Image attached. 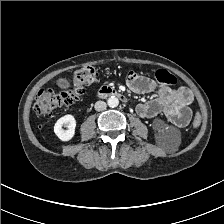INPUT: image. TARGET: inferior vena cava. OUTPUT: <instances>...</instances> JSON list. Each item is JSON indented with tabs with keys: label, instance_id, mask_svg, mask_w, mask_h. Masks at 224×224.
Listing matches in <instances>:
<instances>
[{
	"label": "inferior vena cava",
	"instance_id": "obj_1",
	"mask_svg": "<svg viewBox=\"0 0 224 224\" xmlns=\"http://www.w3.org/2000/svg\"><path fill=\"white\" fill-rule=\"evenodd\" d=\"M106 107H107V104L104 101H97L95 103V110L96 111H103V110L106 109Z\"/></svg>",
	"mask_w": 224,
	"mask_h": 224
}]
</instances>
